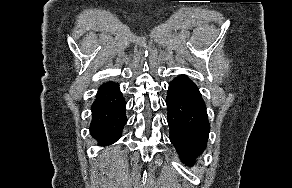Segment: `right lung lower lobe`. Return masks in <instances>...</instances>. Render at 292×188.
<instances>
[{"label":"right lung lower lobe","instance_id":"98d812e1","mask_svg":"<svg viewBox=\"0 0 292 188\" xmlns=\"http://www.w3.org/2000/svg\"><path fill=\"white\" fill-rule=\"evenodd\" d=\"M92 121L90 134L100 146H107L116 142L127 122L126 102L114 82H107L100 86L91 107Z\"/></svg>","mask_w":292,"mask_h":188}]
</instances>
